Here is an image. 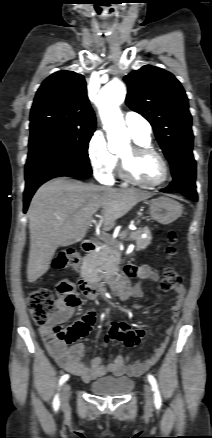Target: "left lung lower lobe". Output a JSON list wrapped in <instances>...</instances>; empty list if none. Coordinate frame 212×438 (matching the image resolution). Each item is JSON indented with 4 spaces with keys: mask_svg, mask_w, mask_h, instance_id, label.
I'll use <instances>...</instances> for the list:
<instances>
[{
    "mask_svg": "<svg viewBox=\"0 0 212 438\" xmlns=\"http://www.w3.org/2000/svg\"><path fill=\"white\" fill-rule=\"evenodd\" d=\"M170 164L173 181L167 188L160 191L166 193L178 191L193 201H197L198 197L195 185L196 162L192 151L182 153L173 159Z\"/></svg>",
    "mask_w": 212,
    "mask_h": 438,
    "instance_id": "0a47b994",
    "label": "left lung lower lobe"
}]
</instances>
